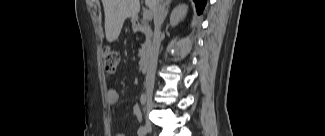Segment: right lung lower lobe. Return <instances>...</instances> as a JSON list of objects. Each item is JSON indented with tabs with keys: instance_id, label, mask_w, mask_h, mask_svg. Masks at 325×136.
I'll list each match as a JSON object with an SVG mask.
<instances>
[{
	"instance_id": "obj_1",
	"label": "right lung lower lobe",
	"mask_w": 325,
	"mask_h": 136,
	"mask_svg": "<svg viewBox=\"0 0 325 136\" xmlns=\"http://www.w3.org/2000/svg\"><path fill=\"white\" fill-rule=\"evenodd\" d=\"M194 2L196 4V9L198 14H201L206 5V0H194Z\"/></svg>"
}]
</instances>
